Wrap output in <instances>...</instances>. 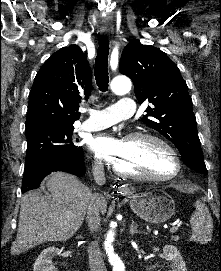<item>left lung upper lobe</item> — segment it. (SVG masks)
Returning a JSON list of instances; mask_svg holds the SVG:
<instances>
[{"instance_id":"obj_1","label":"left lung upper lobe","mask_w":221,"mask_h":271,"mask_svg":"<svg viewBox=\"0 0 221 271\" xmlns=\"http://www.w3.org/2000/svg\"><path fill=\"white\" fill-rule=\"evenodd\" d=\"M119 70L132 80L138 101L153 105L142 121L174 143L188 167L207 174L192 99L177 65L160 49L132 42L122 52Z\"/></svg>"}]
</instances>
